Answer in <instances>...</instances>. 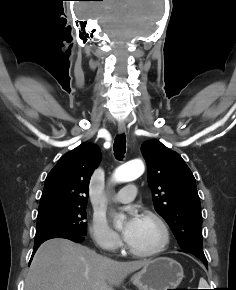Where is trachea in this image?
<instances>
[{"label": "trachea", "mask_w": 236, "mask_h": 290, "mask_svg": "<svg viewBox=\"0 0 236 290\" xmlns=\"http://www.w3.org/2000/svg\"><path fill=\"white\" fill-rule=\"evenodd\" d=\"M114 155L118 160L124 158V154L126 151V137L124 134L118 135L115 138V142L113 145Z\"/></svg>", "instance_id": "obj_1"}]
</instances>
